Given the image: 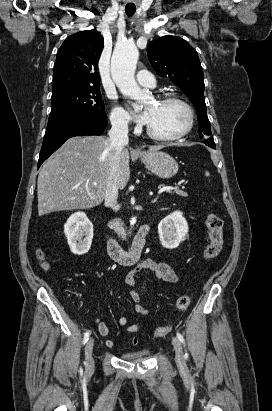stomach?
Masks as SVG:
<instances>
[{
    "label": "stomach",
    "mask_w": 272,
    "mask_h": 411,
    "mask_svg": "<svg viewBox=\"0 0 272 411\" xmlns=\"http://www.w3.org/2000/svg\"><path fill=\"white\" fill-rule=\"evenodd\" d=\"M145 166L160 178H171L178 172V164L173 157L165 152H144L140 154Z\"/></svg>",
    "instance_id": "obj_1"
}]
</instances>
